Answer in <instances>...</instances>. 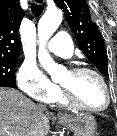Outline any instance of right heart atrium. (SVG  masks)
I'll return each instance as SVG.
<instances>
[{
    "instance_id": "obj_1",
    "label": "right heart atrium",
    "mask_w": 117,
    "mask_h": 136,
    "mask_svg": "<svg viewBox=\"0 0 117 136\" xmlns=\"http://www.w3.org/2000/svg\"><path fill=\"white\" fill-rule=\"evenodd\" d=\"M17 83L22 92L29 98L50 104L55 101L59 88L52 83L37 64L24 60L17 73Z\"/></svg>"
}]
</instances>
